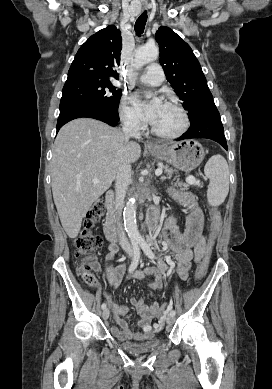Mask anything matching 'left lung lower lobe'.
Segmentation results:
<instances>
[{
  "label": "left lung lower lobe",
  "mask_w": 272,
  "mask_h": 389,
  "mask_svg": "<svg viewBox=\"0 0 272 389\" xmlns=\"http://www.w3.org/2000/svg\"><path fill=\"white\" fill-rule=\"evenodd\" d=\"M191 138L211 139L228 150L224 128L215 104L208 106L198 116L191 119L189 129L178 140Z\"/></svg>",
  "instance_id": "left-lung-lower-lobe-1"
}]
</instances>
